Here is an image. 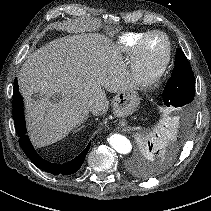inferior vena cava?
<instances>
[{
  "mask_svg": "<svg viewBox=\"0 0 211 211\" xmlns=\"http://www.w3.org/2000/svg\"><path fill=\"white\" fill-rule=\"evenodd\" d=\"M93 107H94V103H93V102H90V103H89V108H90V110H92Z\"/></svg>",
  "mask_w": 211,
  "mask_h": 211,
  "instance_id": "inferior-vena-cava-1",
  "label": "inferior vena cava"
}]
</instances>
